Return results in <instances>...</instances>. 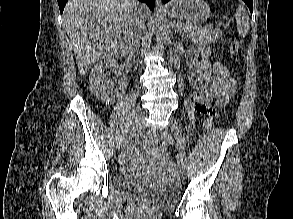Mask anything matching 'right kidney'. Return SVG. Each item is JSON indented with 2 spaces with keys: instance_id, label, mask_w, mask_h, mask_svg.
<instances>
[{
  "instance_id": "right-kidney-1",
  "label": "right kidney",
  "mask_w": 293,
  "mask_h": 219,
  "mask_svg": "<svg viewBox=\"0 0 293 219\" xmlns=\"http://www.w3.org/2000/svg\"><path fill=\"white\" fill-rule=\"evenodd\" d=\"M106 70L117 72L119 71V66L114 59H105L97 63L91 70L89 87L98 100L109 104L115 100L117 91L114 89L113 84L109 82L105 74ZM124 87L125 82H122L120 89Z\"/></svg>"
}]
</instances>
